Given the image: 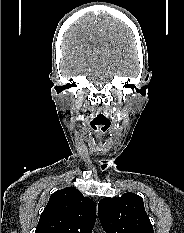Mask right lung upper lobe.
<instances>
[{"mask_svg": "<svg viewBox=\"0 0 184 233\" xmlns=\"http://www.w3.org/2000/svg\"><path fill=\"white\" fill-rule=\"evenodd\" d=\"M96 205L74 187L54 192L41 213L35 233H92Z\"/></svg>", "mask_w": 184, "mask_h": 233, "instance_id": "obj_1", "label": "right lung upper lobe"}]
</instances>
